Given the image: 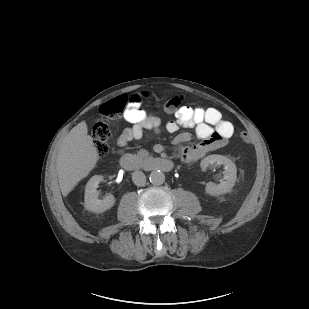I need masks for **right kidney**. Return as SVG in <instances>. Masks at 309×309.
Wrapping results in <instances>:
<instances>
[{
  "label": "right kidney",
  "mask_w": 309,
  "mask_h": 309,
  "mask_svg": "<svg viewBox=\"0 0 309 309\" xmlns=\"http://www.w3.org/2000/svg\"><path fill=\"white\" fill-rule=\"evenodd\" d=\"M101 181H103V176L95 175L88 181L85 188V208L95 213L104 212L115 204V197L112 194L106 196L104 199L98 198L99 192L96 188Z\"/></svg>",
  "instance_id": "ca27d5eb"
}]
</instances>
